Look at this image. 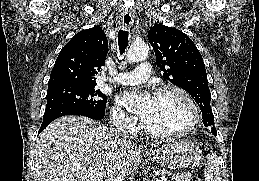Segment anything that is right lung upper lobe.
Here are the masks:
<instances>
[{
  "instance_id": "1",
  "label": "right lung upper lobe",
  "mask_w": 259,
  "mask_h": 181,
  "mask_svg": "<svg viewBox=\"0 0 259 181\" xmlns=\"http://www.w3.org/2000/svg\"><path fill=\"white\" fill-rule=\"evenodd\" d=\"M108 53L106 34L100 26L77 33L60 51L48 86L62 83L96 84L95 76Z\"/></svg>"
}]
</instances>
